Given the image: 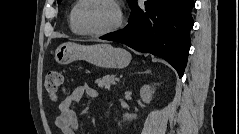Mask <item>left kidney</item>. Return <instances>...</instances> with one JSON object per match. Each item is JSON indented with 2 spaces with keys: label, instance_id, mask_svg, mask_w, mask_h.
Returning <instances> with one entry per match:
<instances>
[{
  "label": "left kidney",
  "instance_id": "5707ae66",
  "mask_svg": "<svg viewBox=\"0 0 239 134\" xmlns=\"http://www.w3.org/2000/svg\"><path fill=\"white\" fill-rule=\"evenodd\" d=\"M154 93V89L151 88L149 85H144L140 89V97L144 103H150L152 100V95ZM137 115L136 114H129L125 113L123 115V120H133L136 119Z\"/></svg>",
  "mask_w": 239,
  "mask_h": 134
}]
</instances>
